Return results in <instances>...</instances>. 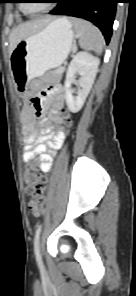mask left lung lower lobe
<instances>
[{
    "mask_svg": "<svg viewBox=\"0 0 136 296\" xmlns=\"http://www.w3.org/2000/svg\"><path fill=\"white\" fill-rule=\"evenodd\" d=\"M119 0H59L50 14L84 18L94 23L103 33L108 44Z\"/></svg>",
    "mask_w": 136,
    "mask_h": 296,
    "instance_id": "obj_1",
    "label": "left lung lower lobe"
}]
</instances>
